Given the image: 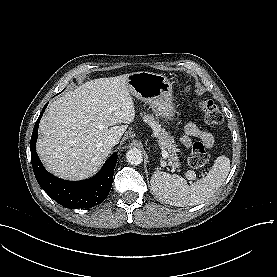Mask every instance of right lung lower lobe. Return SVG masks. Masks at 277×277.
Instances as JSON below:
<instances>
[{"mask_svg": "<svg viewBox=\"0 0 277 277\" xmlns=\"http://www.w3.org/2000/svg\"><path fill=\"white\" fill-rule=\"evenodd\" d=\"M47 105L48 103L43 107L34 125L30 142L32 167L39 185L51 198L69 209L91 208L102 203L112 186L114 168L118 158L117 152L111 155L100 172L91 179L72 182L48 173L36 153L38 125Z\"/></svg>", "mask_w": 277, "mask_h": 277, "instance_id": "obj_1", "label": "right lung lower lobe"}]
</instances>
